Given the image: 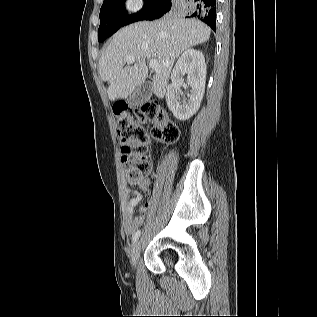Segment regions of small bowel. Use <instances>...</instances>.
Listing matches in <instances>:
<instances>
[{
  "label": "small bowel",
  "instance_id": "1",
  "mask_svg": "<svg viewBox=\"0 0 317 317\" xmlns=\"http://www.w3.org/2000/svg\"><path fill=\"white\" fill-rule=\"evenodd\" d=\"M134 184L137 185L141 190L146 191L149 185V179L142 178ZM130 194L132 197L125 208L124 227L127 233L132 234L144 222L145 211L148 207V204H146L140 209L139 215L133 217L134 211L136 207L139 205L142 197L136 191H131Z\"/></svg>",
  "mask_w": 317,
  "mask_h": 317
}]
</instances>
